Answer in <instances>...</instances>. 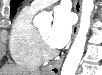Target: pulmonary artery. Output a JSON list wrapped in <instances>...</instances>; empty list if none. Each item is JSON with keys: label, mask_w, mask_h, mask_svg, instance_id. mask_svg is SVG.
<instances>
[{"label": "pulmonary artery", "mask_w": 102, "mask_h": 75, "mask_svg": "<svg viewBox=\"0 0 102 75\" xmlns=\"http://www.w3.org/2000/svg\"><path fill=\"white\" fill-rule=\"evenodd\" d=\"M54 2H55L54 0H36L31 2L30 5H28L27 7H29L30 9L36 12L49 6Z\"/></svg>", "instance_id": "pulmonary-artery-1"}]
</instances>
